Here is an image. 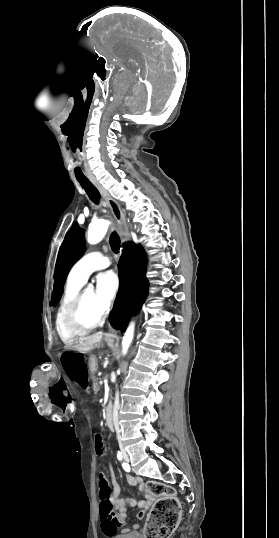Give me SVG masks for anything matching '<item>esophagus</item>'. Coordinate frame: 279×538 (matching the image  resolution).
<instances>
[{
  "instance_id": "1",
  "label": "esophagus",
  "mask_w": 279,
  "mask_h": 538,
  "mask_svg": "<svg viewBox=\"0 0 279 538\" xmlns=\"http://www.w3.org/2000/svg\"><path fill=\"white\" fill-rule=\"evenodd\" d=\"M90 181L93 183V185L99 190L101 193V196L103 197V200L105 201V204L108 208H110L116 222H117V229L118 233L121 237L122 242H127L130 240V234L128 231V227L126 224L125 216L121 210L120 204L114 200L113 197L108 193L107 190L101 185L98 180L94 176H89ZM117 336L116 330L112 329L109 326L108 332L105 334L106 339H111Z\"/></svg>"
}]
</instances>
